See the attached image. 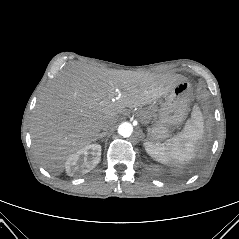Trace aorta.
I'll list each match as a JSON object with an SVG mask.
<instances>
[{
	"label": "aorta",
	"mask_w": 239,
	"mask_h": 239,
	"mask_svg": "<svg viewBox=\"0 0 239 239\" xmlns=\"http://www.w3.org/2000/svg\"><path fill=\"white\" fill-rule=\"evenodd\" d=\"M132 132L133 126L128 122H124L120 124L118 127V133L123 137H129L132 134Z\"/></svg>",
	"instance_id": "aorta-1"
}]
</instances>
